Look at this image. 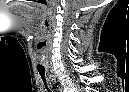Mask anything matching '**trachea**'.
I'll return each mask as SVG.
<instances>
[{"label": "trachea", "mask_w": 129, "mask_h": 92, "mask_svg": "<svg viewBox=\"0 0 129 92\" xmlns=\"http://www.w3.org/2000/svg\"><path fill=\"white\" fill-rule=\"evenodd\" d=\"M39 74L44 82V84L46 85L47 87V83H46V78H45V71H39Z\"/></svg>", "instance_id": "obj_1"}]
</instances>
